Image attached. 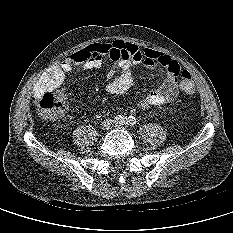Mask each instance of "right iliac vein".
I'll return each mask as SVG.
<instances>
[{
	"instance_id": "63e3f726",
	"label": "right iliac vein",
	"mask_w": 233,
	"mask_h": 233,
	"mask_svg": "<svg viewBox=\"0 0 233 233\" xmlns=\"http://www.w3.org/2000/svg\"><path fill=\"white\" fill-rule=\"evenodd\" d=\"M111 125H112V121H111V120H105V121L102 123V128H103V129H108V128H110Z\"/></svg>"
}]
</instances>
